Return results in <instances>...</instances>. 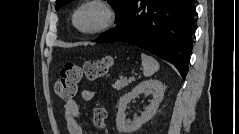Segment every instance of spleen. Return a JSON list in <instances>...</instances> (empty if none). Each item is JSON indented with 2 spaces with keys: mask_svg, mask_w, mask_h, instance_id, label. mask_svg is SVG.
<instances>
[{
  "mask_svg": "<svg viewBox=\"0 0 239 134\" xmlns=\"http://www.w3.org/2000/svg\"><path fill=\"white\" fill-rule=\"evenodd\" d=\"M141 60L145 77H150L158 71L159 63L152 56L142 53Z\"/></svg>",
  "mask_w": 239,
  "mask_h": 134,
  "instance_id": "3e777b00",
  "label": "spleen"
}]
</instances>
